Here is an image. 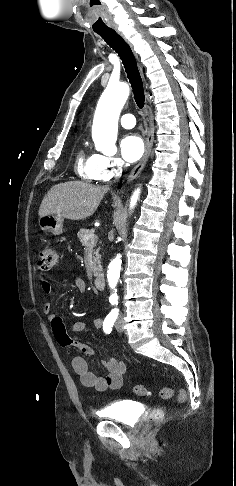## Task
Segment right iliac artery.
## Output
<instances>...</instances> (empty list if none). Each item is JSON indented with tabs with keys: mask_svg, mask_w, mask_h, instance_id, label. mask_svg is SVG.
Instances as JSON below:
<instances>
[{
	"mask_svg": "<svg viewBox=\"0 0 236 486\" xmlns=\"http://www.w3.org/2000/svg\"><path fill=\"white\" fill-rule=\"evenodd\" d=\"M118 312H119L118 309L114 308L105 318L104 323H103V330H104L105 333H107V334L111 333L114 322H115V320L118 316Z\"/></svg>",
	"mask_w": 236,
	"mask_h": 486,
	"instance_id": "1",
	"label": "right iliac artery"
}]
</instances>
